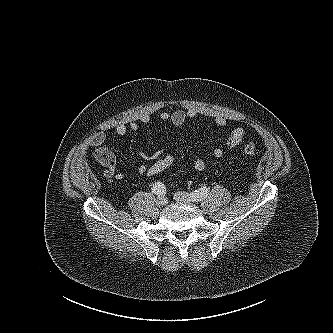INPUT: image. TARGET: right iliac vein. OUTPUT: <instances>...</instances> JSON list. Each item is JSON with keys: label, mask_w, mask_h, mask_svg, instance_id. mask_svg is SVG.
Instances as JSON below:
<instances>
[{"label": "right iliac vein", "mask_w": 333, "mask_h": 333, "mask_svg": "<svg viewBox=\"0 0 333 333\" xmlns=\"http://www.w3.org/2000/svg\"><path fill=\"white\" fill-rule=\"evenodd\" d=\"M157 204L160 205V206L166 205L167 204L166 197L163 196V195L158 196Z\"/></svg>", "instance_id": "1"}]
</instances>
